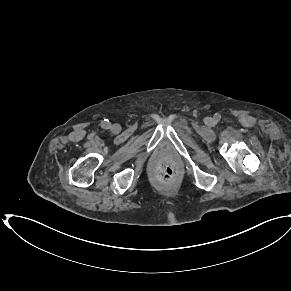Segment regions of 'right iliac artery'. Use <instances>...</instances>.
I'll return each instance as SVG.
<instances>
[{
	"instance_id": "1",
	"label": "right iliac artery",
	"mask_w": 291,
	"mask_h": 291,
	"mask_svg": "<svg viewBox=\"0 0 291 291\" xmlns=\"http://www.w3.org/2000/svg\"><path fill=\"white\" fill-rule=\"evenodd\" d=\"M110 126H111V123L107 119L101 122V127L104 129H108L110 128Z\"/></svg>"
}]
</instances>
